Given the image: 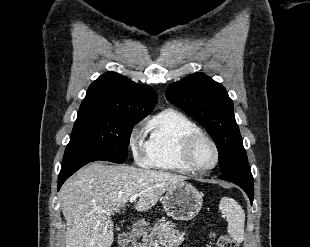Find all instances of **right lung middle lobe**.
Listing matches in <instances>:
<instances>
[{"mask_svg": "<svg viewBox=\"0 0 310 247\" xmlns=\"http://www.w3.org/2000/svg\"><path fill=\"white\" fill-rule=\"evenodd\" d=\"M144 117L110 113H78L62 165L96 159L123 163L131 131Z\"/></svg>", "mask_w": 310, "mask_h": 247, "instance_id": "obj_1", "label": "right lung middle lobe"}]
</instances>
